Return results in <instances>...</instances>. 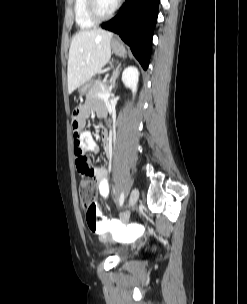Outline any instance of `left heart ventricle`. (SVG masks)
<instances>
[{"instance_id":"left-heart-ventricle-1","label":"left heart ventricle","mask_w":247,"mask_h":304,"mask_svg":"<svg viewBox=\"0 0 247 304\" xmlns=\"http://www.w3.org/2000/svg\"><path fill=\"white\" fill-rule=\"evenodd\" d=\"M118 0H98V8L102 14L110 13Z\"/></svg>"}]
</instances>
